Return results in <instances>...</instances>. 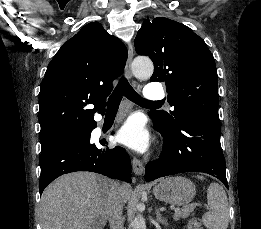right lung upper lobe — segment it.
I'll list each match as a JSON object with an SVG mask.
<instances>
[{
	"mask_svg": "<svg viewBox=\"0 0 261 229\" xmlns=\"http://www.w3.org/2000/svg\"><path fill=\"white\" fill-rule=\"evenodd\" d=\"M127 55L125 45L98 22L87 24L61 46L39 93L40 134L51 133L52 146L96 124L93 115L105 111L112 82L123 71ZM87 104L95 108L87 109Z\"/></svg>",
	"mask_w": 261,
	"mask_h": 229,
	"instance_id": "right-lung-upper-lobe-1",
	"label": "right lung upper lobe"
}]
</instances>
